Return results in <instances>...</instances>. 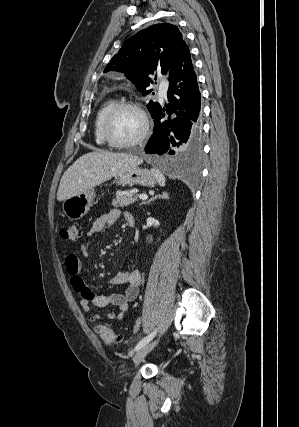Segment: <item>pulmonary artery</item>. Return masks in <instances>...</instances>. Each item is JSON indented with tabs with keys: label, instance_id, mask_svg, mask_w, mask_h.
<instances>
[{
	"label": "pulmonary artery",
	"instance_id": "obj_1",
	"mask_svg": "<svg viewBox=\"0 0 299 427\" xmlns=\"http://www.w3.org/2000/svg\"><path fill=\"white\" fill-rule=\"evenodd\" d=\"M167 90H168V83L165 81H162L159 86V95L165 98L167 95Z\"/></svg>",
	"mask_w": 299,
	"mask_h": 427
}]
</instances>
